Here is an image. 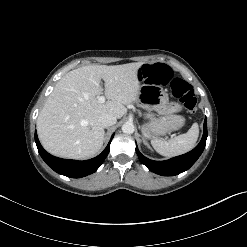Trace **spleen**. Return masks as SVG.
Instances as JSON below:
<instances>
[{
  "label": "spleen",
  "mask_w": 247,
  "mask_h": 247,
  "mask_svg": "<svg viewBox=\"0 0 247 247\" xmlns=\"http://www.w3.org/2000/svg\"><path fill=\"white\" fill-rule=\"evenodd\" d=\"M199 135V127L194 123L187 133L181 134L171 140L153 139V148L161 155L173 157L184 154L194 148Z\"/></svg>",
  "instance_id": "3e777b00"
}]
</instances>
